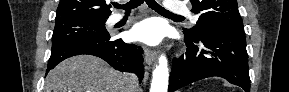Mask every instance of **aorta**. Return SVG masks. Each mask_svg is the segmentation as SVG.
Listing matches in <instances>:
<instances>
[{"instance_id":"1","label":"aorta","mask_w":289,"mask_h":92,"mask_svg":"<svg viewBox=\"0 0 289 92\" xmlns=\"http://www.w3.org/2000/svg\"><path fill=\"white\" fill-rule=\"evenodd\" d=\"M168 61L165 55L159 57V64L153 71L150 92H167L168 90Z\"/></svg>"}]
</instances>
